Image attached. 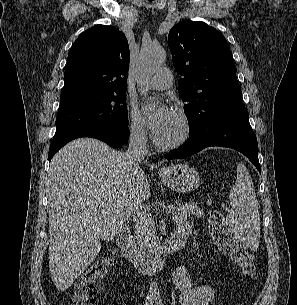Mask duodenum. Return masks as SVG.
<instances>
[{
    "instance_id": "obj_1",
    "label": "duodenum",
    "mask_w": 297,
    "mask_h": 305,
    "mask_svg": "<svg viewBox=\"0 0 297 305\" xmlns=\"http://www.w3.org/2000/svg\"><path fill=\"white\" fill-rule=\"evenodd\" d=\"M190 232L189 228L177 230L175 235L165 240L154 254L144 257L136 251L128 226L123 225L117 236V246L123 257L137 269L147 274H153L163 268L169 253L177 251L183 246Z\"/></svg>"
}]
</instances>
